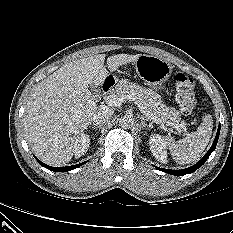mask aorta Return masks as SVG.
<instances>
[{
  "instance_id": "1",
  "label": "aorta",
  "mask_w": 233,
  "mask_h": 233,
  "mask_svg": "<svg viewBox=\"0 0 233 233\" xmlns=\"http://www.w3.org/2000/svg\"><path fill=\"white\" fill-rule=\"evenodd\" d=\"M119 124L122 128H131L134 124V119L130 115L121 116Z\"/></svg>"
}]
</instances>
